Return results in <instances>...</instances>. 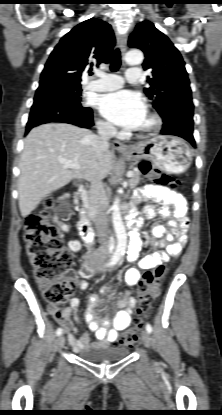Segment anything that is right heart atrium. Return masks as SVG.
<instances>
[{"label": "right heart atrium", "instance_id": "obj_1", "mask_svg": "<svg viewBox=\"0 0 222 415\" xmlns=\"http://www.w3.org/2000/svg\"><path fill=\"white\" fill-rule=\"evenodd\" d=\"M98 129L102 132V133H112L113 132V127L105 122V121H98L97 123Z\"/></svg>", "mask_w": 222, "mask_h": 415}]
</instances>
